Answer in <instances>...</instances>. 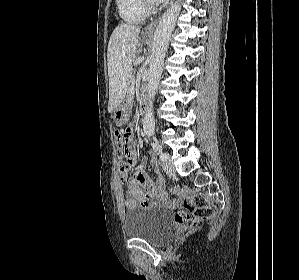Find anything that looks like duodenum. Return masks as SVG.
<instances>
[{
	"mask_svg": "<svg viewBox=\"0 0 299 280\" xmlns=\"http://www.w3.org/2000/svg\"><path fill=\"white\" fill-rule=\"evenodd\" d=\"M140 106H141L142 111L146 110L147 104H146V100L144 97L140 98Z\"/></svg>",
	"mask_w": 299,
	"mask_h": 280,
	"instance_id": "1",
	"label": "duodenum"
}]
</instances>
